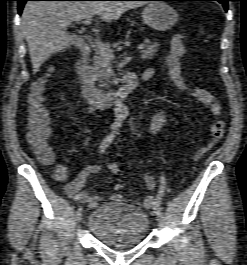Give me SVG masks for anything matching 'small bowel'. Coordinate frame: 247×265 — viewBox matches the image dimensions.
I'll use <instances>...</instances> for the list:
<instances>
[{"mask_svg": "<svg viewBox=\"0 0 247 265\" xmlns=\"http://www.w3.org/2000/svg\"><path fill=\"white\" fill-rule=\"evenodd\" d=\"M152 74H153V71L148 70L144 73L143 78L148 79L152 76ZM86 101L88 105V111L91 112L92 102H90L88 99ZM208 107H209V111L214 116H218L221 113V106L217 100L213 104L209 105ZM166 121H167L166 111L164 109L158 110V112L153 116L150 122V125H149L150 133L153 135H157L161 131V129L164 127V125L166 124ZM100 171H101V166L97 164H93V165H89L85 167L75 179L65 184L64 186L65 193L72 200L78 203H87V202L97 203L101 201L102 199L101 197L91 196L90 193L84 189V186H85V183L88 177L93 174L99 173ZM143 180H144V185L146 189L152 190L155 188V180L151 175L145 174L143 176ZM122 189H123V186L121 184H115L113 186L114 193L111 196V199L113 201L121 202V201L126 200L120 195V192L122 191ZM133 202H136V201H133ZM136 203L140 204L144 208H151L154 204V197L151 195H148L144 198L142 203H138V202Z\"/></svg>", "mask_w": 247, "mask_h": 265, "instance_id": "1", "label": "small bowel"}]
</instances>
